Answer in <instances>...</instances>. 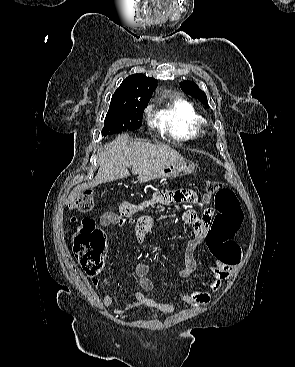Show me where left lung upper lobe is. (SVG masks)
Listing matches in <instances>:
<instances>
[{
    "mask_svg": "<svg viewBox=\"0 0 295 367\" xmlns=\"http://www.w3.org/2000/svg\"><path fill=\"white\" fill-rule=\"evenodd\" d=\"M181 89L184 93H187L196 99H198L200 102H202L205 106L208 107V101L206 94L199 89L198 85L193 81H183L180 83Z\"/></svg>",
    "mask_w": 295,
    "mask_h": 367,
    "instance_id": "obj_1",
    "label": "left lung upper lobe"
}]
</instances>
